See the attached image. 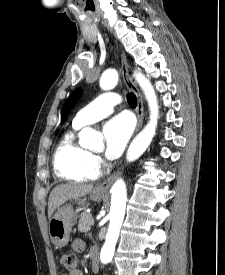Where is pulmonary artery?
Returning <instances> with one entry per match:
<instances>
[{"instance_id": "e3ab8cb5", "label": "pulmonary artery", "mask_w": 225, "mask_h": 275, "mask_svg": "<svg viewBox=\"0 0 225 275\" xmlns=\"http://www.w3.org/2000/svg\"><path fill=\"white\" fill-rule=\"evenodd\" d=\"M121 102V98L114 92H106L91 101L74 117V124L85 126L94 123L112 113L113 109Z\"/></svg>"}]
</instances>
